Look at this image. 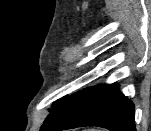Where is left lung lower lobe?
Masks as SVG:
<instances>
[{"instance_id":"0a47b994","label":"left lung lower lobe","mask_w":151,"mask_h":131,"mask_svg":"<svg viewBox=\"0 0 151 131\" xmlns=\"http://www.w3.org/2000/svg\"><path fill=\"white\" fill-rule=\"evenodd\" d=\"M134 105L118 85H101L65 96L45 119L40 131H62L82 126L110 131H136Z\"/></svg>"}]
</instances>
